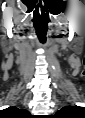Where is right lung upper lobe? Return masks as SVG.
<instances>
[{
    "label": "right lung upper lobe",
    "instance_id": "cb5924a9",
    "mask_svg": "<svg viewBox=\"0 0 85 118\" xmlns=\"http://www.w3.org/2000/svg\"><path fill=\"white\" fill-rule=\"evenodd\" d=\"M8 111H10V112H23V111H25V110L17 109L16 107H10V108L8 109Z\"/></svg>",
    "mask_w": 85,
    "mask_h": 118
}]
</instances>
